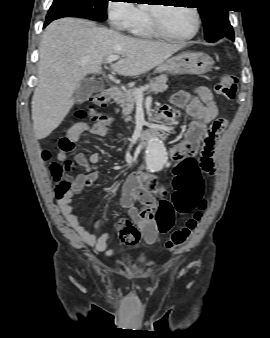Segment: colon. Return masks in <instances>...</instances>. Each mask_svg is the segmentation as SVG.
Listing matches in <instances>:
<instances>
[{
    "label": "colon",
    "mask_w": 270,
    "mask_h": 338,
    "mask_svg": "<svg viewBox=\"0 0 270 338\" xmlns=\"http://www.w3.org/2000/svg\"><path fill=\"white\" fill-rule=\"evenodd\" d=\"M237 78L230 74H224L219 79L215 86V92L219 95L233 99L236 94ZM110 103L109 97L104 93L94 94L90 98L89 113L95 120L104 119L95 113L96 108H103ZM226 122L223 119L216 120L213 127L225 128ZM61 151H71L74 144L67 138L63 137L59 142ZM211 149L205 146L202 151L201 168L208 174L214 172L213 161L210 159ZM43 159L49 157V152L44 150L41 153ZM50 175L58 188H66L73 178L72 164L68 158L64 159L62 163H52L50 165ZM175 191L172 195L171 201L165 200L157 208V219L163 226H168L171 223L175 214H183L195 210L193 216L189 218L184 227L175 231L171 238L166 242V248L174 249L177 246L185 244L193 235L198 227L199 221L202 217L203 211L206 208L207 201L201 196L202 179L195 173L187 187H182L179 183L174 185ZM130 231H134L130 228Z\"/></svg>",
    "instance_id": "obj_1"
}]
</instances>
